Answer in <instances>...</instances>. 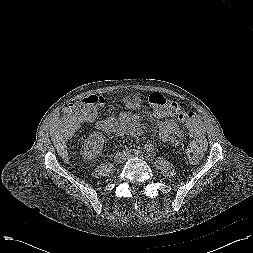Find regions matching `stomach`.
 I'll return each mask as SVG.
<instances>
[{
    "label": "stomach",
    "instance_id": "1",
    "mask_svg": "<svg viewBox=\"0 0 253 253\" xmlns=\"http://www.w3.org/2000/svg\"><path fill=\"white\" fill-rule=\"evenodd\" d=\"M123 105L128 110H139L142 106V100L138 95H127L123 98Z\"/></svg>",
    "mask_w": 253,
    "mask_h": 253
}]
</instances>
